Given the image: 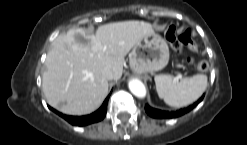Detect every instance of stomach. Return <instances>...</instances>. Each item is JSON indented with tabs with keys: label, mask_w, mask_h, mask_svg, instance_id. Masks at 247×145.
I'll return each instance as SVG.
<instances>
[{
	"label": "stomach",
	"mask_w": 247,
	"mask_h": 145,
	"mask_svg": "<svg viewBox=\"0 0 247 145\" xmlns=\"http://www.w3.org/2000/svg\"><path fill=\"white\" fill-rule=\"evenodd\" d=\"M168 61V45L155 33L144 36L129 54L130 67L137 74L159 71L168 64Z\"/></svg>",
	"instance_id": "stomach-1"
}]
</instances>
